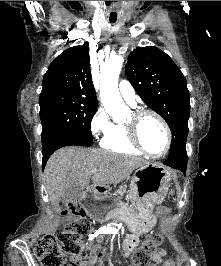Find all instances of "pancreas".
Here are the masks:
<instances>
[{"mask_svg": "<svg viewBox=\"0 0 221 266\" xmlns=\"http://www.w3.org/2000/svg\"><path fill=\"white\" fill-rule=\"evenodd\" d=\"M117 193L122 197L124 193H126V185L124 187L120 186Z\"/></svg>", "mask_w": 221, "mask_h": 266, "instance_id": "pancreas-1", "label": "pancreas"}]
</instances>
